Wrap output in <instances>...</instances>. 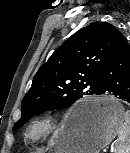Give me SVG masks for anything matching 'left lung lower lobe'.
<instances>
[{"mask_svg": "<svg viewBox=\"0 0 130 153\" xmlns=\"http://www.w3.org/2000/svg\"><path fill=\"white\" fill-rule=\"evenodd\" d=\"M112 94L130 103V46L124 36L111 53L100 76L97 95ZM94 113L92 108H80L75 118L84 120Z\"/></svg>", "mask_w": 130, "mask_h": 153, "instance_id": "obj_1", "label": "left lung lower lobe"}]
</instances>
